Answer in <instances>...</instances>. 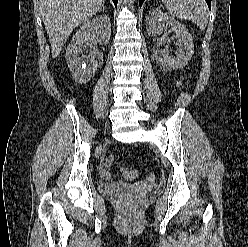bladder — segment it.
<instances>
[{
    "label": "bladder",
    "mask_w": 248,
    "mask_h": 247,
    "mask_svg": "<svg viewBox=\"0 0 248 247\" xmlns=\"http://www.w3.org/2000/svg\"><path fill=\"white\" fill-rule=\"evenodd\" d=\"M122 190L123 188L116 184L106 183L101 185V192L107 195H116L119 194Z\"/></svg>",
    "instance_id": "31cf9c89"
}]
</instances>
